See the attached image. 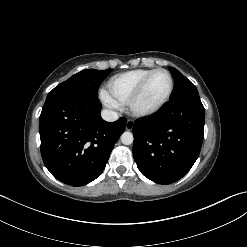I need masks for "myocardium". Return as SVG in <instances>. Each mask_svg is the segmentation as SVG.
<instances>
[{
    "instance_id": "f54148a6",
    "label": "myocardium",
    "mask_w": 247,
    "mask_h": 247,
    "mask_svg": "<svg viewBox=\"0 0 247 247\" xmlns=\"http://www.w3.org/2000/svg\"><path fill=\"white\" fill-rule=\"evenodd\" d=\"M159 72H163L165 73L168 78H169V89H168V92L167 94L165 95V97L156 105L150 107V108H139L137 106V103L139 101V99L141 98V96L143 95L146 87H147V84L148 82L150 81V79L157 73ZM173 90H174V80H173V77L171 75V73L166 70V69H163V68H158V69H155L153 71H151L142 81L141 83L138 85V87L136 88V90L133 92V94L131 95V97L129 98L128 100V107H129V110L130 112L134 115V116H137V117H147V116H150V115H153L155 114L156 112H158L160 109H162L166 103L169 101V99L171 98V95L173 93Z\"/></svg>"
}]
</instances>
